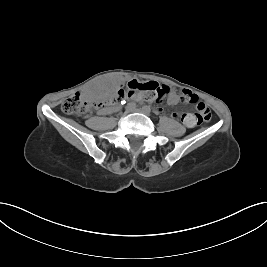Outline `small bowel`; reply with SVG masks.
Here are the masks:
<instances>
[{"mask_svg":"<svg viewBox=\"0 0 267 267\" xmlns=\"http://www.w3.org/2000/svg\"><path fill=\"white\" fill-rule=\"evenodd\" d=\"M181 101V96L178 95L174 90H172L168 96V102L172 105H176ZM200 106H205L204 103L202 102H197V107ZM110 110H112L111 108H106L103 109L102 112L103 113H108ZM159 111L162 112V108H158ZM172 117L175 119H179L181 118V120L185 123V125L189 128L194 127L195 125H197V122L194 118V114L193 113H187V114H179L178 112H174L172 114Z\"/></svg>","mask_w":267,"mask_h":267,"instance_id":"1","label":"small bowel"}]
</instances>
